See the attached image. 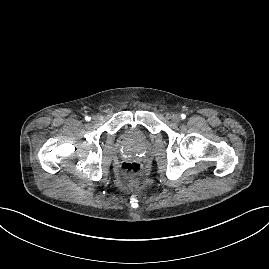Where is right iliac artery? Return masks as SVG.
<instances>
[{"instance_id":"right-iliac-artery-1","label":"right iliac artery","mask_w":269,"mask_h":269,"mask_svg":"<svg viewBox=\"0 0 269 269\" xmlns=\"http://www.w3.org/2000/svg\"><path fill=\"white\" fill-rule=\"evenodd\" d=\"M85 120H86V121H90V120H91V117L86 116V117H85Z\"/></svg>"}]
</instances>
